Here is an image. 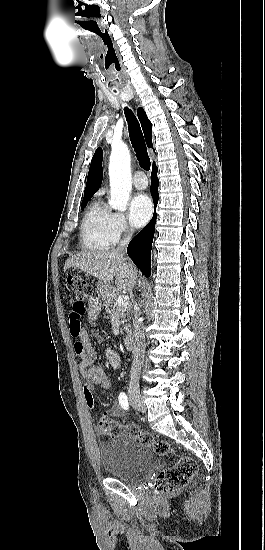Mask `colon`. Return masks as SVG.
Returning a JSON list of instances; mask_svg holds the SVG:
<instances>
[{"label": "colon", "mask_w": 265, "mask_h": 550, "mask_svg": "<svg viewBox=\"0 0 265 550\" xmlns=\"http://www.w3.org/2000/svg\"><path fill=\"white\" fill-rule=\"evenodd\" d=\"M66 284L73 296L70 316L72 319H79L85 314V303L92 297L93 289L87 280L74 274L66 276ZM98 431L104 436L136 438L141 443L149 445L160 456L172 454V449L167 442L155 439L136 425L121 424L111 417L105 416L99 420ZM197 470V463L193 459L178 458L173 466L165 468L157 474L154 480V492L158 495L176 493L188 484L190 479L196 475Z\"/></svg>", "instance_id": "obj_1"}]
</instances>
